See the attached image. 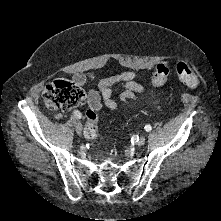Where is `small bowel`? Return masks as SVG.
I'll return each instance as SVG.
<instances>
[{
  "label": "small bowel",
  "instance_id": "small-bowel-1",
  "mask_svg": "<svg viewBox=\"0 0 221 221\" xmlns=\"http://www.w3.org/2000/svg\"><path fill=\"white\" fill-rule=\"evenodd\" d=\"M137 74L134 71H125L120 74L103 78L97 82V90L89 89L87 92V102L90 108L100 110L102 104L108 109L115 110L118 107L117 101L113 98L116 87L122 89L120 101L124 104H131L139 100V95L146 92V88L136 81ZM78 85H85L87 80H97L93 73H77L73 77ZM155 98L150 99V103H155Z\"/></svg>",
  "mask_w": 221,
  "mask_h": 221
}]
</instances>
